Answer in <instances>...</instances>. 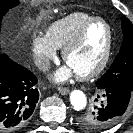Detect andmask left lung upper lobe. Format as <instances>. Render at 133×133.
I'll return each mask as SVG.
<instances>
[{
    "mask_svg": "<svg viewBox=\"0 0 133 133\" xmlns=\"http://www.w3.org/2000/svg\"><path fill=\"white\" fill-rule=\"evenodd\" d=\"M121 21L123 43L120 52L109 70L97 81L98 89L107 86H122L133 91V24L124 15L121 17ZM96 107L94 111L84 112L78 116L77 123L81 128L88 131H99L107 128L106 123H98L94 120Z\"/></svg>",
    "mask_w": 133,
    "mask_h": 133,
    "instance_id": "left-lung-upper-lobe-1",
    "label": "left lung upper lobe"
}]
</instances>
